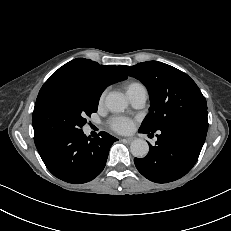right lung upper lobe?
<instances>
[{
  "instance_id": "obj_1",
  "label": "right lung upper lobe",
  "mask_w": 231,
  "mask_h": 231,
  "mask_svg": "<svg viewBox=\"0 0 231 231\" xmlns=\"http://www.w3.org/2000/svg\"><path fill=\"white\" fill-rule=\"evenodd\" d=\"M121 70V66H104L90 59L77 58L55 71L42 88L63 80L87 79L104 90L107 86L127 78Z\"/></svg>"
}]
</instances>
